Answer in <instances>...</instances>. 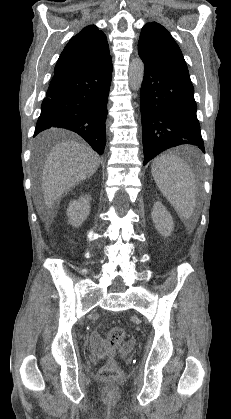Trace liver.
<instances>
[{
  "label": "liver",
  "mask_w": 231,
  "mask_h": 419,
  "mask_svg": "<svg viewBox=\"0 0 231 419\" xmlns=\"http://www.w3.org/2000/svg\"><path fill=\"white\" fill-rule=\"evenodd\" d=\"M40 135L38 144L46 140ZM98 155L85 144L66 141L56 145L47 155L42 172L43 203L38 209L44 221L51 222L54 204L66 191L93 175L99 168Z\"/></svg>",
  "instance_id": "obj_1"
}]
</instances>
